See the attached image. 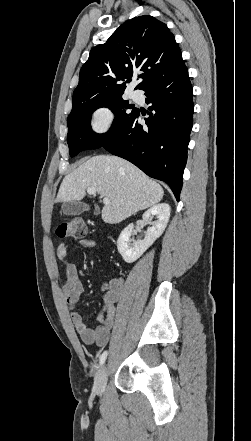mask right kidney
I'll return each mask as SVG.
<instances>
[{"instance_id": "obj_1", "label": "right kidney", "mask_w": 251, "mask_h": 441, "mask_svg": "<svg viewBox=\"0 0 251 441\" xmlns=\"http://www.w3.org/2000/svg\"><path fill=\"white\" fill-rule=\"evenodd\" d=\"M170 212V206L161 203L152 206L143 214L142 218L145 222H150L154 216L157 218L152 226L147 229L143 240L135 241L131 238L134 229L132 223L124 228L118 238L117 248L125 262L132 263L136 261L162 235L169 221Z\"/></svg>"}]
</instances>
